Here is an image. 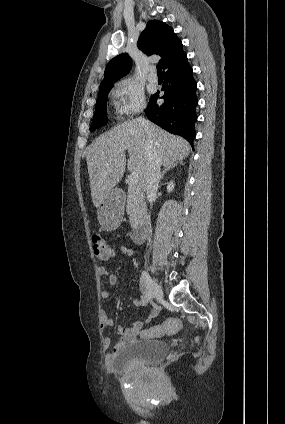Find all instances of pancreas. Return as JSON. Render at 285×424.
<instances>
[{"label":"pancreas","mask_w":285,"mask_h":424,"mask_svg":"<svg viewBox=\"0 0 285 424\" xmlns=\"http://www.w3.org/2000/svg\"><path fill=\"white\" fill-rule=\"evenodd\" d=\"M126 210L130 216L131 227H137L146 214V203L143 193L134 186H129Z\"/></svg>","instance_id":"pancreas-1"}]
</instances>
